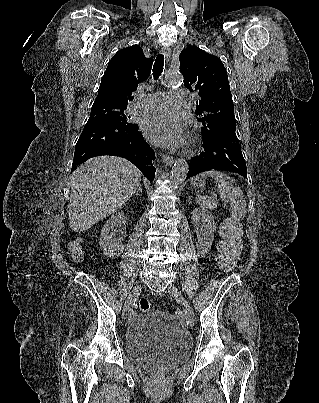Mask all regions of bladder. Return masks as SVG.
<instances>
[{
  "label": "bladder",
  "mask_w": 319,
  "mask_h": 403,
  "mask_svg": "<svg viewBox=\"0 0 319 403\" xmlns=\"http://www.w3.org/2000/svg\"><path fill=\"white\" fill-rule=\"evenodd\" d=\"M127 358L153 371L167 370L186 360L192 342L170 314L149 310L137 315L125 332Z\"/></svg>",
  "instance_id": "obj_1"
}]
</instances>
